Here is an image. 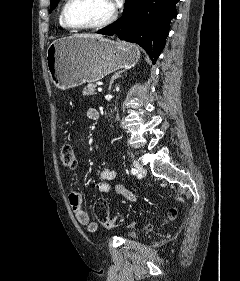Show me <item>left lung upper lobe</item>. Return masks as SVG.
<instances>
[{"label": "left lung upper lobe", "mask_w": 240, "mask_h": 281, "mask_svg": "<svg viewBox=\"0 0 240 281\" xmlns=\"http://www.w3.org/2000/svg\"><path fill=\"white\" fill-rule=\"evenodd\" d=\"M59 0H50V12L56 7Z\"/></svg>", "instance_id": "obj_1"}]
</instances>
